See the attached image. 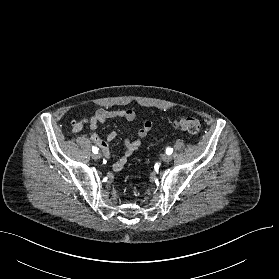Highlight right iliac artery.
Returning <instances> with one entry per match:
<instances>
[{"mask_svg": "<svg viewBox=\"0 0 279 279\" xmlns=\"http://www.w3.org/2000/svg\"><path fill=\"white\" fill-rule=\"evenodd\" d=\"M92 151H93L94 154H97V153H98V148L95 147V146H93V147H92Z\"/></svg>", "mask_w": 279, "mask_h": 279, "instance_id": "82829eb1", "label": "right iliac artery"}]
</instances>
